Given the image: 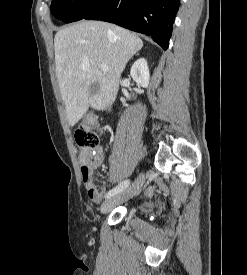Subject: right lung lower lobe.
<instances>
[{
	"mask_svg": "<svg viewBox=\"0 0 247 275\" xmlns=\"http://www.w3.org/2000/svg\"><path fill=\"white\" fill-rule=\"evenodd\" d=\"M179 4L180 0H104L83 19L107 21L149 35L165 50Z\"/></svg>",
	"mask_w": 247,
	"mask_h": 275,
	"instance_id": "98d812e1",
	"label": "right lung lower lobe"
}]
</instances>
